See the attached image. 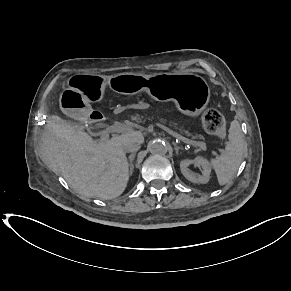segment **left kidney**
<instances>
[{
  "label": "left kidney",
  "instance_id": "5707ae66",
  "mask_svg": "<svg viewBox=\"0 0 291 291\" xmlns=\"http://www.w3.org/2000/svg\"><path fill=\"white\" fill-rule=\"evenodd\" d=\"M191 164L201 166L202 168V175H196L193 173L190 169L189 166ZM180 169L182 174L186 179L193 183H201L205 184L208 183L209 178H210V173H211V166L209 162L204 159L203 157H197L195 160H188L185 159L180 162Z\"/></svg>",
  "mask_w": 291,
  "mask_h": 291
}]
</instances>
